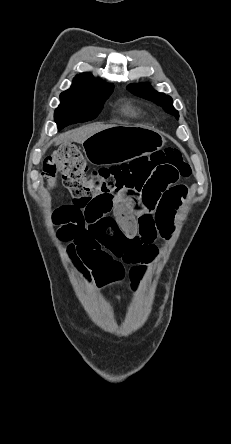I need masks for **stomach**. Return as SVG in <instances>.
Segmentation results:
<instances>
[{"mask_svg": "<svg viewBox=\"0 0 231 444\" xmlns=\"http://www.w3.org/2000/svg\"><path fill=\"white\" fill-rule=\"evenodd\" d=\"M165 142L162 133L149 126H114L88 137L83 151L92 164H115L150 154Z\"/></svg>", "mask_w": 231, "mask_h": 444, "instance_id": "0dacf381", "label": "stomach"}]
</instances>
